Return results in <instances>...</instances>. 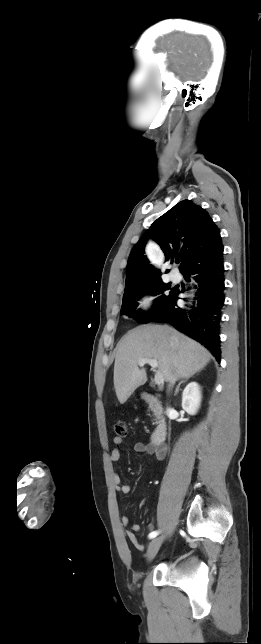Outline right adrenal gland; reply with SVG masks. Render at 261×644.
Returning <instances> with one entry per match:
<instances>
[{"label": "right adrenal gland", "instance_id": "1", "mask_svg": "<svg viewBox=\"0 0 261 644\" xmlns=\"http://www.w3.org/2000/svg\"><path fill=\"white\" fill-rule=\"evenodd\" d=\"M191 377H192V376L185 377V378H184V379H183V380L178 384V386L176 387V390H175V395L178 393L179 388H180V385H181L182 383L186 382V381H187L188 379H190Z\"/></svg>", "mask_w": 261, "mask_h": 644}]
</instances>
